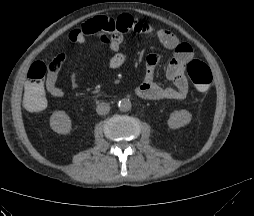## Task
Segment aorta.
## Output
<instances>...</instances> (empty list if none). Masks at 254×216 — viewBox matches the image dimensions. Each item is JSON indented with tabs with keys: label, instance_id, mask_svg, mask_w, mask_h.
I'll list each match as a JSON object with an SVG mask.
<instances>
[{
	"label": "aorta",
	"instance_id": "aorta-1",
	"mask_svg": "<svg viewBox=\"0 0 254 216\" xmlns=\"http://www.w3.org/2000/svg\"><path fill=\"white\" fill-rule=\"evenodd\" d=\"M119 110L122 112H127L131 110V101L127 98L121 99L118 103Z\"/></svg>",
	"mask_w": 254,
	"mask_h": 216
}]
</instances>
